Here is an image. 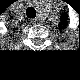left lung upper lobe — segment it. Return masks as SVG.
I'll list each match as a JSON object with an SVG mask.
<instances>
[{
	"instance_id": "obj_1",
	"label": "left lung upper lobe",
	"mask_w": 80,
	"mask_h": 80,
	"mask_svg": "<svg viewBox=\"0 0 80 80\" xmlns=\"http://www.w3.org/2000/svg\"><path fill=\"white\" fill-rule=\"evenodd\" d=\"M63 21H65V17L64 16H62V18H61Z\"/></svg>"
}]
</instances>
